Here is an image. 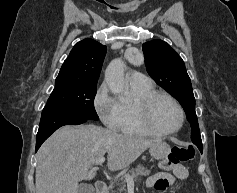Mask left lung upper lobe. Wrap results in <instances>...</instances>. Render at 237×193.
Here are the masks:
<instances>
[{
	"mask_svg": "<svg viewBox=\"0 0 237 193\" xmlns=\"http://www.w3.org/2000/svg\"><path fill=\"white\" fill-rule=\"evenodd\" d=\"M142 48L147 72L158 85L179 101L191 124V139L198 149H203L191 80L183 60L176 51L160 39L146 42Z\"/></svg>",
	"mask_w": 237,
	"mask_h": 193,
	"instance_id": "left-lung-upper-lobe-1",
	"label": "left lung upper lobe"
}]
</instances>
